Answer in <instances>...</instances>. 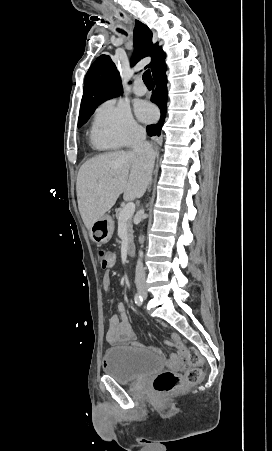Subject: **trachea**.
Instances as JSON below:
<instances>
[{
    "label": "trachea",
    "instance_id": "obj_1",
    "mask_svg": "<svg viewBox=\"0 0 272 451\" xmlns=\"http://www.w3.org/2000/svg\"><path fill=\"white\" fill-rule=\"evenodd\" d=\"M124 33V32H123ZM143 81L145 85H154V82L151 77L150 70H146V72L143 73Z\"/></svg>",
    "mask_w": 272,
    "mask_h": 451
}]
</instances>
